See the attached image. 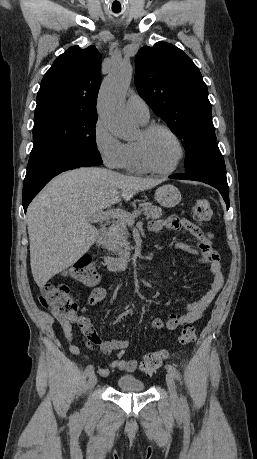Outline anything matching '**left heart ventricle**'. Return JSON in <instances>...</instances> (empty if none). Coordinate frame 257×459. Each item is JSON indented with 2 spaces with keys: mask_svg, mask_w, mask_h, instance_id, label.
<instances>
[{
  "mask_svg": "<svg viewBox=\"0 0 257 459\" xmlns=\"http://www.w3.org/2000/svg\"><path fill=\"white\" fill-rule=\"evenodd\" d=\"M140 138L141 133L138 134L135 141ZM145 149L150 162L160 169L172 167L179 156V149L174 139L162 130L154 132L147 138Z\"/></svg>",
  "mask_w": 257,
  "mask_h": 459,
  "instance_id": "b2bd125f",
  "label": "left heart ventricle"
}]
</instances>
